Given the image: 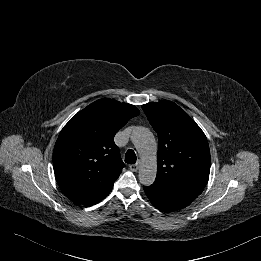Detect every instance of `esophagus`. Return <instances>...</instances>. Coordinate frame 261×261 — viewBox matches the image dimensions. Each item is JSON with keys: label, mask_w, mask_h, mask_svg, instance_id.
<instances>
[{"label": "esophagus", "mask_w": 261, "mask_h": 261, "mask_svg": "<svg viewBox=\"0 0 261 261\" xmlns=\"http://www.w3.org/2000/svg\"><path fill=\"white\" fill-rule=\"evenodd\" d=\"M140 162L138 161L136 164H132L129 166L130 170L136 172L139 169Z\"/></svg>", "instance_id": "obj_1"}]
</instances>
